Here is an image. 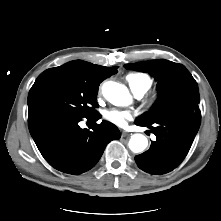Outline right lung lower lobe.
Returning <instances> with one entry per match:
<instances>
[{
  "label": "right lung lower lobe",
  "instance_id": "right-lung-lower-lobe-1",
  "mask_svg": "<svg viewBox=\"0 0 221 221\" xmlns=\"http://www.w3.org/2000/svg\"><path fill=\"white\" fill-rule=\"evenodd\" d=\"M83 117L66 113H41L28 119V127L40 153L55 169L73 175L90 170L99 161L106 145L121 137L118 128L108 122L92 126L78 125ZM97 121L96 112L85 117Z\"/></svg>",
  "mask_w": 221,
  "mask_h": 221
}]
</instances>
